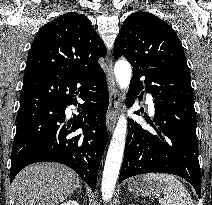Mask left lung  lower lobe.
I'll use <instances>...</instances> for the list:
<instances>
[{
	"label": "left lung lower lobe",
	"mask_w": 212,
	"mask_h": 205,
	"mask_svg": "<svg viewBox=\"0 0 212 205\" xmlns=\"http://www.w3.org/2000/svg\"><path fill=\"white\" fill-rule=\"evenodd\" d=\"M143 83L154 98L155 125L150 123L156 132L130 121L119 182L149 172L171 173L187 180L200 197L201 173L190 75L166 67L133 70L129 88L132 104Z\"/></svg>",
	"instance_id": "obj_1"
}]
</instances>
